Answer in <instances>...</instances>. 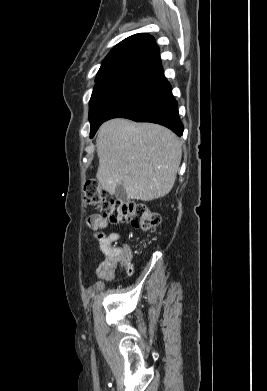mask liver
I'll return each mask as SVG.
<instances>
[{"label": "liver", "mask_w": 267, "mask_h": 391, "mask_svg": "<svg viewBox=\"0 0 267 391\" xmlns=\"http://www.w3.org/2000/svg\"><path fill=\"white\" fill-rule=\"evenodd\" d=\"M96 147V177L109 194L114 195L120 183L133 200L152 201L171 191L181 162L182 144L169 129L112 119L100 126Z\"/></svg>", "instance_id": "6515ba94"}]
</instances>
